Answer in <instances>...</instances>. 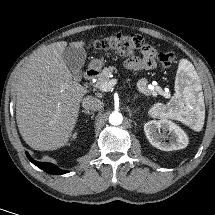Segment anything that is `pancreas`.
<instances>
[{
  "label": "pancreas",
  "instance_id": "cf45deb5",
  "mask_svg": "<svg viewBox=\"0 0 215 215\" xmlns=\"http://www.w3.org/2000/svg\"><path fill=\"white\" fill-rule=\"evenodd\" d=\"M114 72L117 73V69L114 66L105 67L100 73V76L96 82V87L99 88L102 83L110 81V77ZM137 88L139 92L146 96H156L157 92L161 90L160 87H156L155 89L149 88L148 81L145 78H142L137 82Z\"/></svg>",
  "mask_w": 215,
  "mask_h": 215
}]
</instances>
